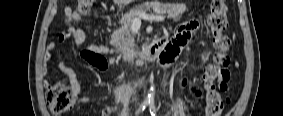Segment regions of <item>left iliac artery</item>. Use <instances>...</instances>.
<instances>
[{
  "mask_svg": "<svg viewBox=\"0 0 283 116\" xmlns=\"http://www.w3.org/2000/svg\"><path fill=\"white\" fill-rule=\"evenodd\" d=\"M150 113L152 116H156L155 106L153 103L150 104Z\"/></svg>",
  "mask_w": 283,
  "mask_h": 116,
  "instance_id": "1",
  "label": "left iliac artery"
}]
</instances>
